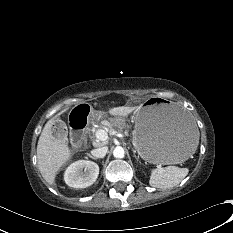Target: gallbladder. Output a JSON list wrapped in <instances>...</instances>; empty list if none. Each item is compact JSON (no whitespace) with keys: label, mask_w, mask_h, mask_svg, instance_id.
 Listing matches in <instances>:
<instances>
[{"label":"gallbladder","mask_w":233,"mask_h":233,"mask_svg":"<svg viewBox=\"0 0 233 233\" xmlns=\"http://www.w3.org/2000/svg\"><path fill=\"white\" fill-rule=\"evenodd\" d=\"M64 127H65V124L62 121H60L58 123V127L55 129L56 133L58 134V137L61 140H63L65 138V134H66Z\"/></svg>","instance_id":"gallbladder-1"}]
</instances>
